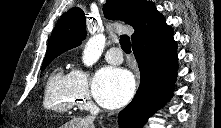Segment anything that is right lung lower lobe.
<instances>
[{"label": "right lung lower lobe", "mask_w": 221, "mask_h": 128, "mask_svg": "<svg viewBox=\"0 0 221 128\" xmlns=\"http://www.w3.org/2000/svg\"><path fill=\"white\" fill-rule=\"evenodd\" d=\"M141 81L132 102L120 112L122 128H141L172 96L177 77V44L172 35L157 45H133Z\"/></svg>", "instance_id": "98d812e1"}]
</instances>
